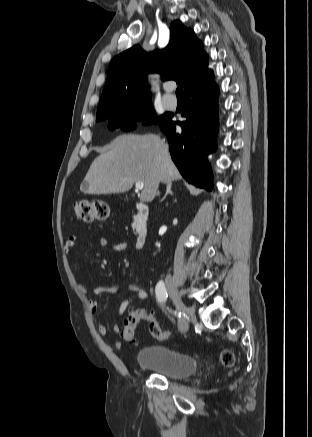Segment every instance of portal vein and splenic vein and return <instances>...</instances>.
Instances as JSON below:
<instances>
[{"instance_id": "obj_1", "label": "portal vein and splenic vein", "mask_w": 312, "mask_h": 437, "mask_svg": "<svg viewBox=\"0 0 312 437\" xmlns=\"http://www.w3.org/2000/svg\"><path fill=\"white\" fill-rule=\"evenodd\" d=\"M135 187H136L137 190H142L143 187H144V184H143V182H141V181H137V182L135 183Z\"/></svg>"}]
</instances>
